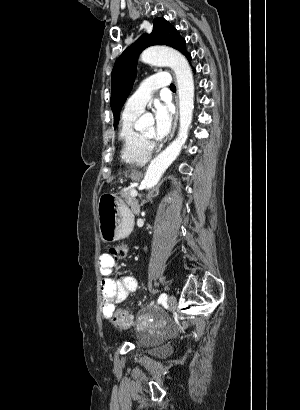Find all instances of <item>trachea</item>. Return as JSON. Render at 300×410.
Returning <instances> with one entry per match:
<instances>
[{
  "label": "trachea",
  "instance_id": "obj_1",
  "mask_svg": "<svg viewBox=\"0 0 300 410\" xmlns=\"http://www.w3.org/2000/svg\"><path fill=\"white\" fill-rule=\"evenodd\" d=\"M170 89H171L172 91H175V90H176L175 85H174V84H171V85H170Z\"/></svg>",
  "mask_w": 300,
  "mask_h": 410
}]
</instances>
